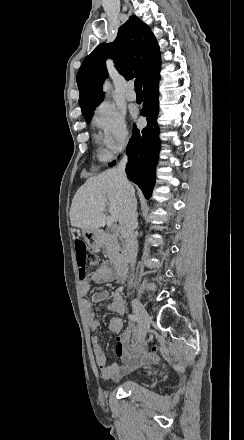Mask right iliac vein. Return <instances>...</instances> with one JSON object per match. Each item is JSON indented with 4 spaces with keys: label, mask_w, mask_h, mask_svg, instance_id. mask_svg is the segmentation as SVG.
Segmentation results:
<instances>
[{
    "label": "right iliac vein",
    "mask_w": 244,
    "mask_h": 440,
    "mask_svg": "<svg viewBox=\"0 0 244 440\" xmlns=\"http://www.w3.org/2000/svg\"><path fill=\"white\" fill-rule=\"evenodd\" d=\"M132 307L134 313L139 318L138 335L136 341L140 343L145 340L148 325L151 323L152 320L147 311L144 309L142 303L137 298H132Z\"/></svg>",
    "instance_id": "right-iliac-vein-1"
}]
</instances>
